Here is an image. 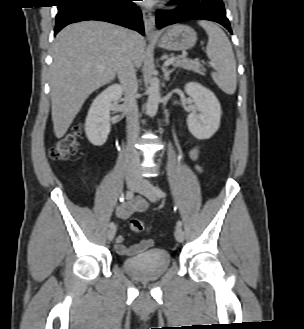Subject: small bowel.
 Instances as JSON below:
<instances>
[{
	"label": "small bowel",
	"mask_w": 304,
	"mask_h": 329,
	"mask_svg": "<svg viewBox=\"0 0 304 329\" xmlns=\"http://www.w3.org/2000/svg\"><path fill=\"white\" fill-rule=\"evenodd\" d=\"M202 148L198 145L192 147L190 150V158L193 161H196ZM197 169L200 170V167L197 166ZM149 207V203L143 197H134L130 201L119 203L116 208V214L122 219H128L136 213L145 212ZM124 238L122 235H118L115 238V249L116 251L123 256H132L143 252L151 247H153L154 242L152 240H142L137 244L126 246L124 244Z\"/></svg>",
	"instance_id": "c3829d8e"
}]
</instances>
